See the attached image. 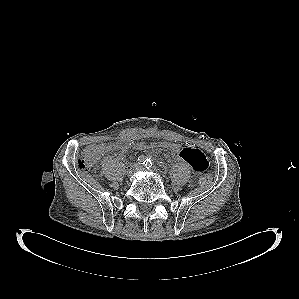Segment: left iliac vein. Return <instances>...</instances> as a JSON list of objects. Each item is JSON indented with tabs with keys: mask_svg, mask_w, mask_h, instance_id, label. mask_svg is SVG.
<instances>
[{
	"mask_svg": "<svg viewBox=\"0 0 299 299\" xmlns=\"http://www.w3.org/2000/svg\"><path fill=\"white\" fill-rule=\"evenodd\" d=\"M137 169H138V170H144V167H142V166H138Z\"/></svg>",
	"mask_w": 299,
	"mask_h": 299,
	"instance_id": "left-iliac-vein-1",
	"label": "left iliac vein"
}]
</instances>
